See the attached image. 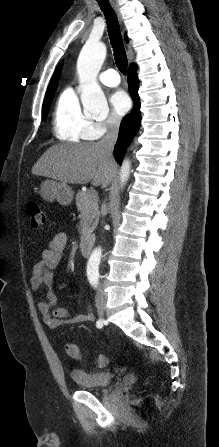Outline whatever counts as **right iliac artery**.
Returning <instances> with one entry per match:
<instances>
[{"mask_svg":"<svg viewBox=\"0 0 219 447\" xmlns=\"http://www.w3.org/2000/svg\"><path fill=\"white\" fill-rule=\"evenodd\" d=\"M97 328H101L102 327V321L98 320L96 323Z\"/></svg>","mask_w":219,"mask_h":447,"instance_id":"1","label":"right iliac artery"}]
</instances>
